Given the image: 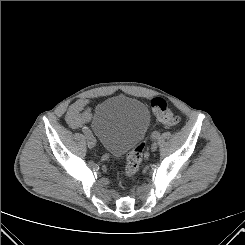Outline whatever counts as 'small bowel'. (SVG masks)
Returning a JSON list of instances; mask_svg holds the SVG:
<instances>
[{"instance_id":"small-bowel-1","label":"small bowel","mask_w":245,"mask_h":245,"mask_svg":"<svg viewBox=\"0 0 245 245\" xmlns=\"http://www.w3.org/2000/svg\"><path fill=\"white\" fill-rule=\"evenodd\" d=\"M88 101L79 99L75 101L68 109L66 120L70 128L78 129L90 120L91 114L87 109Z\"/></svg>"}]
</instances>
